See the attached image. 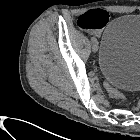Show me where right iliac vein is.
<instances>
[{
	"mask_svg": "<svg viewBox=\"0 0 140 140\" xmlns=\"http://www.w3.org/2000/svg\"><path fill=\"white\" fill-rule=\"evenodd\" d=\"M92 49H93V51H95V52L97 51V44H96V43L93 44Z\"/></svg>",
	"mask_w": 140,
	"mask_h": 140,
	"instance_id": "obj_1",
	"label": "right iliac vein"
}]
</instances>
